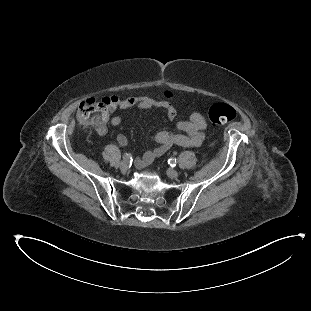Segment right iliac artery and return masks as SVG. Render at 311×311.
Masks as SVG:
<instances>
[{"instance_id":"1","label":"right iliac artery","mask_w":311,"mask_h":311,"mask_svg":"<svg viewBox=\"0 0 311 311\" xmlns=\"http://www.w3.org/2000/svg\"><path fill=\"white\" fill-rule=\"evenodd\" d=\"M123 159L125 162L129 163V162H132L133 161V157L131 154L129 153H124L123 155Z\"/></svg>"}]
</instances>
